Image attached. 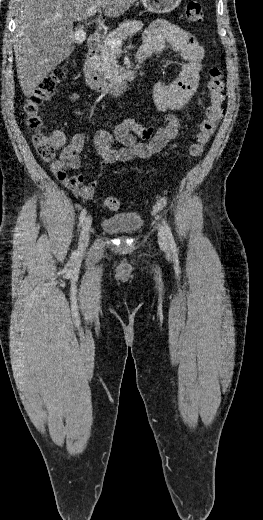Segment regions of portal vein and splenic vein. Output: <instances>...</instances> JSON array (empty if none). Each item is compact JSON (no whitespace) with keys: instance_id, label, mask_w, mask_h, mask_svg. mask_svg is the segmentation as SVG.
Returning a JSON list of instances; mask_svg holds the SVG:
<instances>
[{"instance_id":"18ae733b","label":"portal vein and splenic vein","mask_w":263,"mask_h":520,"mask_svg":"<svg viewBox=\"0 0 263 520\" xmlns=\"http://www.w3.org/2000/svg\"><path fill=\"white\" fill-rule=\"evenodd\" d=\"M98 8L97 6H93L91 8L88 9L87 11V15L90 17V16H93L96 12H97ZM106 40H107V43L113 48H118L122 45V40L120 39H110L108 37H106Z\"/></svg>"}]
</instances>
